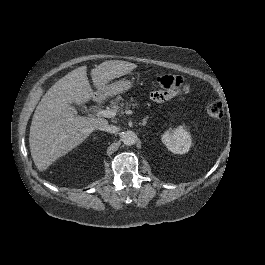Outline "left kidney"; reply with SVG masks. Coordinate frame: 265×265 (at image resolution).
Instances as JSON below:
<instances>
[{"instance_id":"obj_1","label":"left kidney","mask_w":265,"mask_h":265,"mask_svg":"<svg viewBox=\"0 0 265 265\" xmlns=\"http://www.w3.org/2000/svg\"><path fill=\"white\" fill-rule=\"evenodd\" d=\"M161 139L174 154H185L192 146L191 134L183 126L165 131Z\"/></svg>"}]
</instances>
